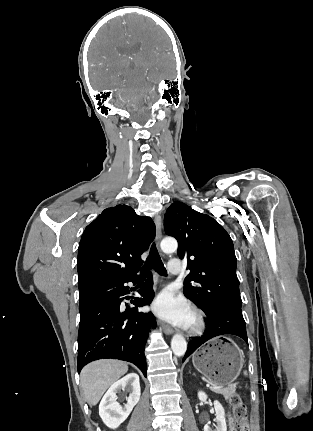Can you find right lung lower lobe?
Here are the masks:
<instances>
[{
    "mask_svg": "<svg viewBox=\"0 0 313 431\" xmlns=\"http://www.w3.org/2000/svg\"><path fill=\"white\" fill-rule=\"evenodd\" d=\"M137 275L109 280H94L79 285L80 324L78 332V372L89 362L113 358L135 364L146 376L144 346L154 315L139 313L137 307L150 304L153 280L150 275L136 297L135 307H125L129 299L127 282L135 283ZM127 305V303H125Z\"/></svg>",
    "mask_w": 313,
    "mask_h": 431,
    "instance_id": "98d812e1",
    "label": "right lung lower lobe"
}]
</instances>
